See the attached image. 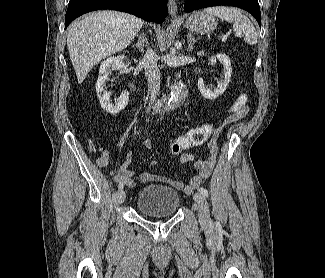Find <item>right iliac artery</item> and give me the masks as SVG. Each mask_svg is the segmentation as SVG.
<instances>
[{
	"mask_svg": "<svg viewBox=\"0 0 325 278\" xmlns=\"http://www.w3.org/2000/svg\"><path fill=\"white\" fill-rule=\"evenodd\" d=\"M118 187H119V189H122L124 187V185L122 183H119Z\"/></svg>",
	"mask_w": 325,
	"mask_h": 278,
	"instance_id": "obj_1",
	"label": "right iliac artery"
}]
</instances>
